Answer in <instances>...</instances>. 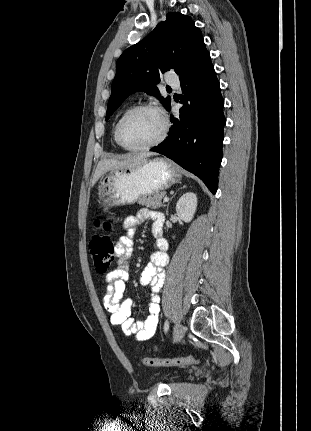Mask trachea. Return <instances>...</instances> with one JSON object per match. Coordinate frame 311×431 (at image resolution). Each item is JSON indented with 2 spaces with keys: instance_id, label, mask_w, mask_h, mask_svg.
<instances>
[{
  "instance_id": "trachea-1",
  "label": "trachea",
  "mask_w": 311,
  "mask_h": 431,
  "mask_svg": "<svg viewBox=\"0 0 311 431\" xmlns=\"http://www.w3.org/2000/svg\"><path fill=\"white\" fill-rule=\"evenodd\" d=\"M167 90H171V87H166Z\"/></svg>"
}]
</instances>
